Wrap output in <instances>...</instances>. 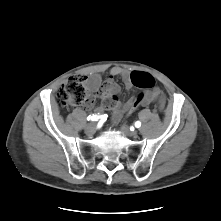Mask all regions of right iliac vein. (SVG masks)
I'll use <instances>...</instances> for the list:
<instances>
[{
    "label": "right iliac vein",
    "mask_w": 221,
    "mask_h": 221,
    "mask_svg": "<svg viewBox=\"0 0 221 221\" xmlns=\"http://www.w3.org/2000/svg\"><path fill=\"white\" fill-rule=\"evenodd\" d=\"M96 130V124L94 122H91L86 125L85 131L87 134L92 135Z\"/></svg>",
    "instance_id": "1"
}]
</instances>
